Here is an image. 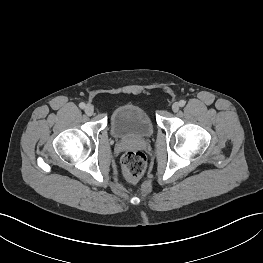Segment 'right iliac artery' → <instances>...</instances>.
Masks as SVG:
<instances>
[{
  "label": "right iliac artery",
  "instance_id": "1",
  "mask_svg": "<svg viewBox=\"0 0 263 263\" xmlns=\"http://www.w3.org/2000/svg\"><path fill=\"white\" fill-rule=\"evenodd\" d=\"M79 107H80L81 109H84V108H85V103L81 102V103L79 104Z\"/></svg>",
  "mask_w": 263,
  "mask_h": 263
}]
</instances>
